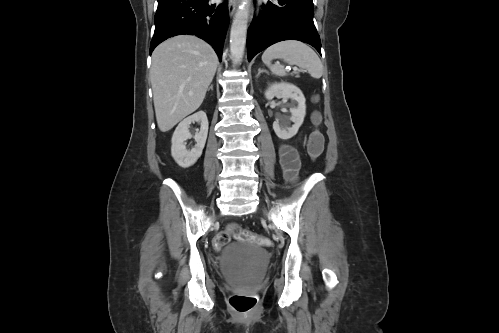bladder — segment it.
<instances>
[{"label": "bladder", "mask_w": 499, "mask_h": 333, "mask_svg": "<svg viewBox=\"0 0 499 333\" xmlns=\"http://www.w3.org/2000/svg\"><path fill=\"white\" fill-rule=\"evenodd\" d=\"M268 251L246 242L228 244L221 261L224 276L237 286L254 287L263 275Z\"/></svg>", "instance_id": "31cf9c89"}]
</instances>
